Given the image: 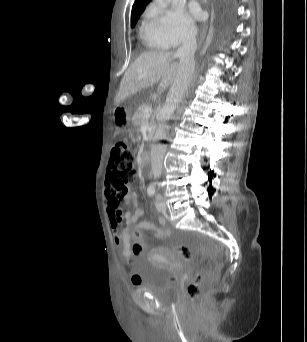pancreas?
I'll return each mask as SVG.
<instances>
[{
    "label": "pancreas",
    "mask_w": 307,
    "mask_h": 342,
    "mask_svg": "<svg viewBox=\"0 0 307 342\" xmlns=\"http://www.w3.org/2000/svg\"><path fill=\"white\" fill-rule=\"evenodd\" d=\"M149 106H146V104H143V106H140L137 114H135L134 118H136V120H142L143 118V114H144V110L145 108H148Z\"/></svg>",
    "instance_id": "pancreas-1"
}]
</instances>
